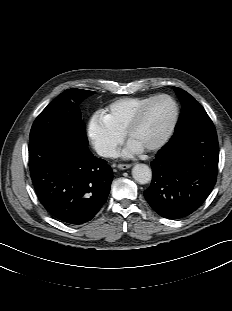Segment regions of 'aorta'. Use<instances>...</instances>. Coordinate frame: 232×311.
<instances>
[{"mask_svg": "<svg viewBox=\"0 0 232 311\" xmlns=\"http://www.w3.org/2000/svg\"><path fill=\"white\" fill-rule=\"evenodd\" d=\"M132 176L136 182L147 184L152 179V171L146 164H136L132 168Z\"/></svg>", "mask_w": 232, "mask_h": 311, "instance_id": "aorta-1", "label": "aorta"}]
</instances>
